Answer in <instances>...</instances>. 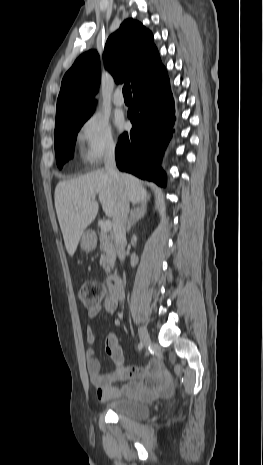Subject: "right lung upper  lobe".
I'll list each match as a JSON object with an SVG mask.
<instances>
[{"label": "right lung upper lobe", "instance_id": "1", "mask_svg": "<svg viewBox=\"0 0 263 465\" xmlns=\"http://www.w3.org/2000/svg\"><path fill=\"white\" fill-rule=\"evenodd\" d=\"M103 60L115 82H131L132 89L164 67L153 43L152 33L133 19L125 20L110 35L105 44ZM100 73L96 51H88L77 58L61 83L56 123L75 111L95 107L96 101L92 99L98 91Z\"/></svg>", "mask_w": 263, "mask_h": 465}]
</instances>
